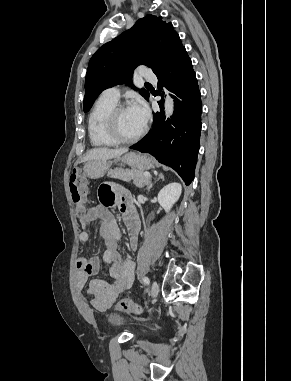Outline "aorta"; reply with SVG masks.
I'll use <instances>...</instances> for the list:
<instances>
[{"instance_id": "762f6f07", "label": "aorta", "mask_w": 291, "mask_h": 381, "mask_svg": "<svg viewBox=\"0 0 291 381\" xmlns=\"http://www.w3.org/2000/svg\"><path fill=\"white\" fill-rule=\"evenodd\" d=\"M164 108H165V115L167 117L173 114L174 102H173V99L168 94L166 95V98H165Z\"/></svg>"}]
</instances>
